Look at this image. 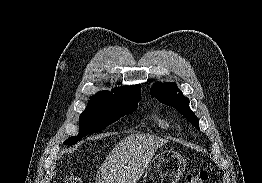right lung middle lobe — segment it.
Returning a JSON list of instances; mask_svg holds the SVG:
<instances>
[{"mask_svg": "<svg viewBox=\"0 0 262 183\" xmlns=\"http://www.w3.org/2000/svg\"><path fill=\"white\" fill-rule=\"evenodd\" d=\"M140 99L118 103L89 101L79 119V133L68 138L64 144L73 145L84 136L102 131L120 117L137 109Z\"/></svg>", "mask_w": 262, "mask_h": 183, "instance_id": "dd1d6c3e", "label": "right lung middle lobe"}]
</instances>
